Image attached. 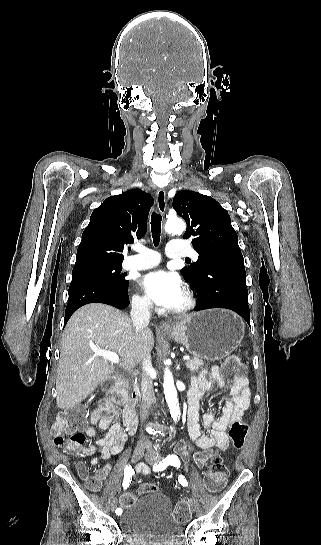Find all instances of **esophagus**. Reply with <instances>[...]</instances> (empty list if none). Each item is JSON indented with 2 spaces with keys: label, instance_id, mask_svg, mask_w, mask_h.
Listing matches in <instances>:
<instances>
[{
  "label": "esophagus",
  "instance_id": "obj_1",
  "mask_svg": "<svg viewBox=\"0 0 321 545\" xmlns=\"http://www.w3.org/2000/svg\"><path fill=\"white\" fill-rule=\"evenodd\" d=\"M156 201L158 205V210L163 215L166 210V192L164 188L158 189L157 195H156ZM159 328L173 330L175 328V325L171 322H161L159 324Z\"/></svg>",
  "mask_w": 321,
  "mask_h": 545
}]
</instances>
